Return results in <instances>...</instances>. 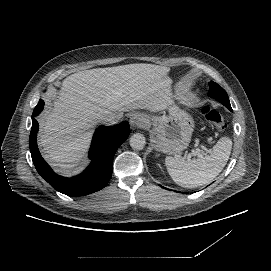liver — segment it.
Instances as JSON below:
<instances>
[{"mask_svg": "<svg viewBox=\"0 0 271 271\" xmlns=\"http://www.w3.org/2000/svg\"><path fill=\"white\" fill-rule=\"evenodd\" d=\"M169 73L165 66L129 64L84 70L66 78L62 93L39 121V142L48 160L67 168L77 163L90 140V129L105 113L163 111L170 91Z\"/></svg>", "mask_w": 271, "mask_h": 271, "instance_id": "liver-1", "label": "liver"}]
</instances>
